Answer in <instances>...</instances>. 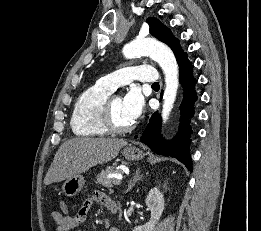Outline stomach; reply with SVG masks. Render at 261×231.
Instances as JSON below:
<instances>
[{
	"mask_svg": "<svg viewBox=\"0 0 261 231\" xmlns=\"http://www.w3.org/2000/svg\"><path fill=\"white\" fill-rule=\"evenodd\" d=\"M122 154L128 161H139L145 156L143 151L135 146L125 147ZM84 183L85 180L82 175H74L64 182L62 186L63 193L68 197H73L82 190Z\"/></svg>",
	"mask_w": 261,
	"mask_h": 231,
	"instance_id": "1",
	"label": "stomach"
}]
</instances>
